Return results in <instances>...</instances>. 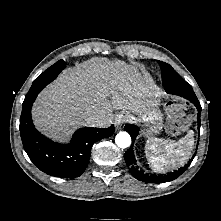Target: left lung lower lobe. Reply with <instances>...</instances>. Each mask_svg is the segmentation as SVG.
<instances>
[{"instance_id":"obj_1","label":"left lung lower lobe","mask_w":221,"mask_h":221,"mask_svg":"<svg viewBox=\"0 0 221 221\" xmlns=\"http://www.w3.org/2000/svg\"><path fill=\"white\" fill-rule=\"evenodd\" d=\"M164 88L167 93L172 94V95L181 96V97L189 100L190 102H192L196 106V108L198 109L197 119H198V130H199L200 129L201 105H200L191 85L188 84L184 79H180L179 81H176L175 83H173L171 85L164 86ZM125 130L127 132H129L132 137V145L128 149V151L124 154V159H125L127 166L129 167L130 173L138 180L148 182V183H163V182H169L171 180H174L187 169V167L191 164L193 158L195 157V154H194V156L188 162L187 165H185L184 167L180 168L178 171H175L173 173H168L167 175H159V176L149 175V174L144 173L143 171L139 170V168L136 164V160H135V156H134V152H133V143H134L136 136L139 133V128L135 125L127 124L125 126Z\"/></svg>"}]
</instances>
